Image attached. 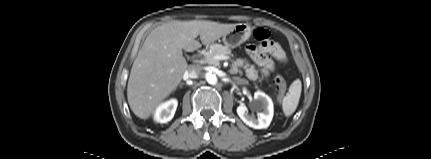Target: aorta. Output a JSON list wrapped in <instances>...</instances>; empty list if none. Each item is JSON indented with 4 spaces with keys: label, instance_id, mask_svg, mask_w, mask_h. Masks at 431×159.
<instances>
[{
    "label": "aorta",
    "instance_id": "aorta-1",
    "mask_svg": "<svg viewBox=\"0 0 431 159\" xmlns=\"http://www.w3.org/2000/svg\"><path fill=\"white\" fill-rule=\"evenodd\" d=\"M205 79L207 80V82L211 85H215L217 83V77L215 74H213L212 72H207L205 74Z\"/></svg>",
    "mask_w": 431,
    "mask_h": 159
}]
</instances>
